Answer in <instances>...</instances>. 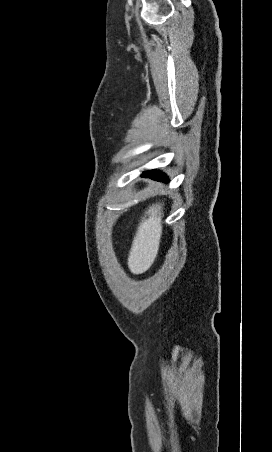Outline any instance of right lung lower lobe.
I'll list each match as a JSON object with an SVG mask.
<instances>
[{"mask_svg":"<svg viewBox=\"0 0 272 452\" xmlns=\"http://www.w3.org/2000/svg\"><path fill=\"white\" fill-rule=\"evenodd\" d=\"M143 177H149L157 181H162L168 183L169 179L162 173L156 172L155 170L147 171L142 174Z\"/></svg>","mask_w":272,"mask_h":452,"instance_id":"98d812e1","label":"right lung lower lobe"}]
</instances>
